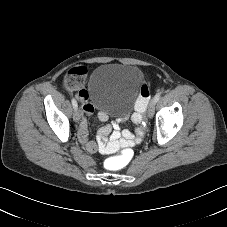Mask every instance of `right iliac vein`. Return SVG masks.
I'll return each mask as SVG.
<instances>
[{
  "label": "right iliac vein",
  "mask_w": 227,
  "mask_h": 227,
  "mask_svg": "<svg viewBox=\"0 0 227 227\" xmlns=\"http://www.w3.org/2000/svg\"><path fill=\"white\" fill-rule=\"evenodd\" d=\"M81 119V111L80 109H75L74 114H73V120L75 122H78Z\"/></svg>",
  "instance_id": "1"
}]
</instances>
